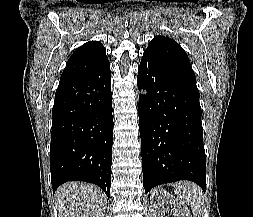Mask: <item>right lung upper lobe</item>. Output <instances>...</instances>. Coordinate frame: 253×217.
I'll return each instance as SVG.
<instances>
[{
  "label": "right lung upper lobe",
  "mask_w": 253,
  "mask_h": 217,
  "mask_svg": "<svg viewBox=\"0 0 253 217\" xmlns=\"http://www.w3.org/2000/svg\"><path fill=\"white\" fill-rule=\"evenodd\" d=\"M106 63H108V58L104 46L99 41H89L71 55L60 82L86 75Z\"/></svg>",
  "instance_id": "right-lung-upper-lobe-1"
}]
</instances>
